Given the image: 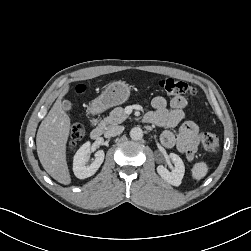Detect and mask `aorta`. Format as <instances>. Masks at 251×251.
<instances>
[{"mask_svg": "<svg viewBox=\"0 0 251 251\" xmlns=\"http://www.w3.org/2000/svg\"><path fill=\"white\" fill-rule=\"evenodd\" d=\"M130 137L132 140H141L143 137V131L139 127H134L130 130Z\"/></svg>", "mask_w": 251, "mask_h": 251, "instance_id": "762f6f07", "label": "aorta"}]
</instances>
